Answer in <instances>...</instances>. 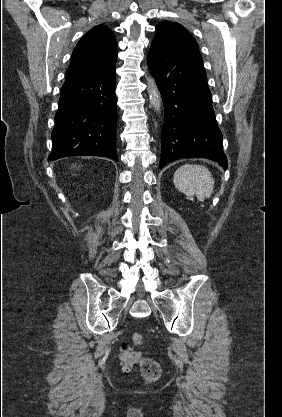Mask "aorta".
<instances>
[{
    "mask_svg": "<svg viewBox=\"0 0 282 417\" xmlns=\"http://www.w3.org/2000/svg\"><path fill=\"white\" fill-rule=\"evenodd\" d=\"M147 90H148L150 102L154 110H157V112H161L162 110L161 94H160V90H158L157 88L155 78H152V76H149V78H147Z\"/></svg>",
    "mask_w": 282,
    "mask_h": 417,
    "instance_id": "aorta-1",
    "label": "aorta"
}]
</instances>
